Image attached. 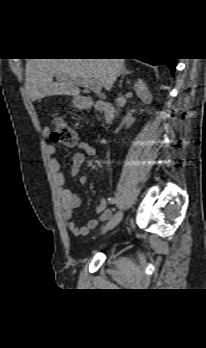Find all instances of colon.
<instances>
[{
  "label": "colon",
  "mask_w": 206,
  "mask_h": 348,
  "mask_svg": "<svg viewBox=\"0 0 206 348\" xmlns=\"http://www.w3.org/2000/svg\"><path fill=\"white\" fill-rule=\"evenodd\" d=\"M49 137L54 142L68 145H73L77 142L76 132L59 115L52 117Z\"/></svg>",
  "instance_id": "5ec220e1"
}]
</instances>
